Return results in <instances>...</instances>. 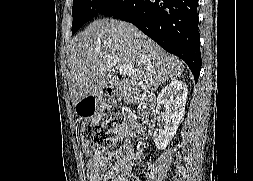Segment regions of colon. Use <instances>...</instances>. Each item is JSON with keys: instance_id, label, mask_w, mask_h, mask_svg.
Returning <instances> with one entry per match:
<instances>
[{"instance_id": "colon-1", "label": "colon", "mask_w": 253, "mask_h": 181, "mask_svg": "<svg viewBox=\"0 0 253 181\" xmlns=\"http://www.w3.org/2000/svg\"><path fill=\"white\" fill-rule=\"evenodd\" d=\"M122 114H102L86 123L81 130V140L86 153L95 156L107 151L123 133H137ZM125 181H135L127 177Z\"/></svg>"}]
</instances>
